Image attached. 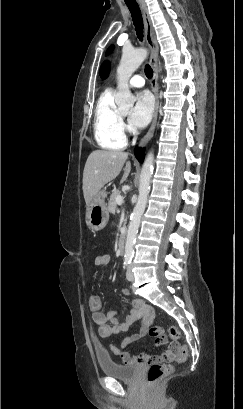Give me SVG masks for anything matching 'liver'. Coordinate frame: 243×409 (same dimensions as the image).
<instances>
[{
	"mask_svg": "<svg viewBox=\"0 0 243 409\" xmlns=\"http://www.w3.org/2000/svg\"><path fill=\"white\" fill-rule=\"evenodd\" d=\"M127 158L128 153L122 151L95 150L90 153L83 172V194L87 206L105 184L119 175ZM130 170L131 163L127 161L120 183L127 179Z\"/></svg>",
	"mask_w": 243,
	"mask_h": 409,
	"instance_id": "6515ba94",
	"label": "liver"
}]
</instances>
